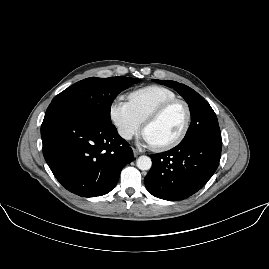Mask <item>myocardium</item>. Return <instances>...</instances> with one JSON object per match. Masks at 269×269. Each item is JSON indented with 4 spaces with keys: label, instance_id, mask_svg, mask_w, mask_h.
<instances>
[{
    "label": "myocardium",
    "instance_id": "obj_1",
    "mask_svg": "<svg viewBox=\"0 0 269 269\" xmlns=\"http://www.w3.org/2000/svg\"><path fill=\"white\" fill-rule=\"evenodd\" d=\"M180 104L183 106L185 113H186V119H185V124L184 127L181 131V133L171 142L165 144V145H161V146H155L152 145L151 146L158 152H165L168 150H171L172 148L176 147L177 145H179L187 136L189 128H190V124H191V109L188 105V103L184 100H180V99H173L170 101H167L165 103H163L162 105H160L159 107H157L156 109H154L152 112H150L144 123H143V134L145 135V131L146 128L148 127V125L150 123H152L155 119H157L158 117H160L164 112H166L169 108H171L174 105Z\"/></svg>",
    "mask_w": 269,
    "mask_h": 269
}]
</instances>
